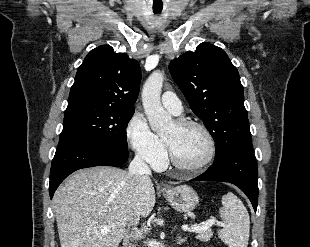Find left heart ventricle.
I'll use <instances>...</instances> for the list:
<instances>
[{
	"instance_id": "1",
	"label": "left heart ventricle",
	"mask_w": 310,
	"mask_h": 247,
	"mask_svg": "<svg viewBox=\"0 0 310 247\" xmlns=\"http://www.w3.org/2000/svg\"><path fill=\"white\" fill-rule=\"evenodd\" d=\"M163 137L176 159L184 165H197L208 155L207 138L198 128L181 129L174 123Z\"/></svg>"
}]
</instances>
